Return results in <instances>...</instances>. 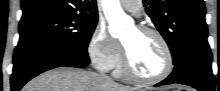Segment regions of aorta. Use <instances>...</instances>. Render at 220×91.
<instances>
[{"mask_svg":"<svg viewBox=\"0 0 220 91\" xmlns=\"http://www.w3.org/2000/svg\"><path fill=\"white\" fill-rule=\"evenodd\" d=\"M104 14L109 22V32L113 37H120L125 27L132 26L119 3V0H102Z\"/></svg>","mask_w":220,"mask_h":91,"instance_id":"aorta-1","label":"aorta"}]
</instances>
